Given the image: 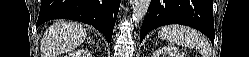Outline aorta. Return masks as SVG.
<instances>
[{
	"instance_id": "obj_1",
	"label": "aorta",
	"mask_w": 249,
	"mask_h": 57,
	"mask_svg": "<svg viewBox=\"0 0 249 57\" xmlns=\"http://www.w3.org/2000/svg\"><path fill=\"white\" fill-rule=\"evenodd\" d=\"M151 0H134L132 9V21L137 24L141 22L149 8Z\"/></svg>"
}]
</instances>
